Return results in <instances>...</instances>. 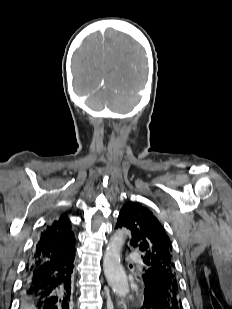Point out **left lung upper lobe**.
Instances as JSON below:
<instances>
[{"instance_id": "left-lung-upper-lobe-1", "label": "left lung upper lobe", "mask_w": 232, "mask_h": 309, "mask_svg": "<svg viewBox=\"0 0 232 309\" xmlns=\"http://www.w3.org/2000/svg\"><path fill=\"white\" fill-rule=\"evenodd\" d=\"M116 228L131 232L129 246L141 252L140 274L157 281L171 300L181 303L172 244L153 213L141 204L126 203L120 210Z\"/></svg>"}]
</instances>
